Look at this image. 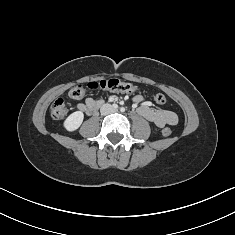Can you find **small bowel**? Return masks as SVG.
Segmentation results:
<instances>
[{
	"instance_id": "1",
	"label": "small bowel",
	"mask_w": 235,
	"mask_h": 235,
	"mask_svg": "<svg viewBox=\"0 0 235 235\" xmlns=\"http://www.w3.org/2000/svg\"><path fill=\"white\" fill-rule=\"evenodd\" d=\"M135 101L139 103L137 112L146 120L154 123L157 127L163 128L166 125L174 126L178 123V115L172 110L155 109L149 105L143 103L141 96H136ZM101 100L93 97H88L84 102L78 104V109L81 111H87L93 105L100 104Z\"/></svg>"
}]
</instances>
